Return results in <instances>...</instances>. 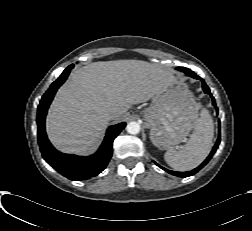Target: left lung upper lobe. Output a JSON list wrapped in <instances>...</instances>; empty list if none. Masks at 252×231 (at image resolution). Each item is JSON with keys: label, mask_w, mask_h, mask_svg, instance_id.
<instances>
[{"label": "left lung upper lobe", "mask_w": 252, "mask_h": 231, "mask_svg": "<svg viewBox=\"0 0 252 231\" xmlns=\"http://www.w3.org/2000/svg\"><path fill=\"white\" fill-rule=\"evenodd\" d=\"M181 68H184V67H178L177 69L180 70Z\"/></svg>", "instance_id": "left-lung-upper-lobe-1"}]
</instances>
